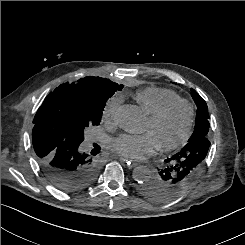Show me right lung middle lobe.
<instances>
[{
  "instance_id": "right-lung-middle-lobe-1",
  "label": "right lung middle lobe",
  "mask_w": 245,
  "mask_h": 245,
  "mask_svg": "<svg viewBox=\"0 0 245 245\" xmlns=\"http://www.w3.org/2000/svg\"><path fill=\"white\" fill-rule=\"evenodd\" d=\"M123 85L111 83L95 92L88 102L66 103L52 107L45 113V123L49 129L64 139L81 143L84 130L91 125H99L107 100Z\"/></svg>"
}]
</instances>
